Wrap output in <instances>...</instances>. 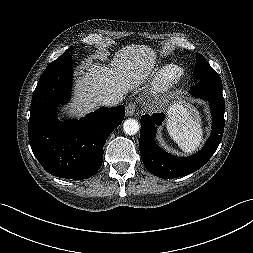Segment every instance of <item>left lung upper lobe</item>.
I'll list each match as a JSON object with an SVG mask.
<instances>
[{"label":"left lung upper lobe","mask_w":253,"mask_h":253,"mask_svg":"<svg viewBox=\"0 0 253 253\" xmlns=\"http://www.w3.org/2000/svg\"><path fill=\"white\" fill-rule=\"evenodd\" d=\"M197 63L194 70V76L196 79L212 81L214 83H222L217 72L208 64L206 59L201 55L197 54Z\"/></svg>","instance_id":"obj_1"}]
</instances>
